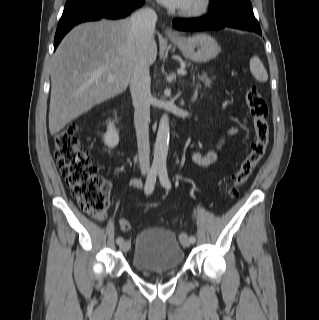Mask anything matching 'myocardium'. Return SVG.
I'll return each mask as SVG.
<instances>
[{
	"mask_svg": "<svg viewBox=\"0 0 319 320\" xmlns=\"http://www.w3.org/2000/svg\"><path fill=\"white\" fill-rule=\"evenodd\" d=\"M211 6V0H194L192 5L183 8L180 15L186 17H196L205 14Z\"/></svg>",
	"mask_w": 319,
	"mask_h": 320,
	"instance_id": "1",
	"label": "myocardium"
}]
</instances>
